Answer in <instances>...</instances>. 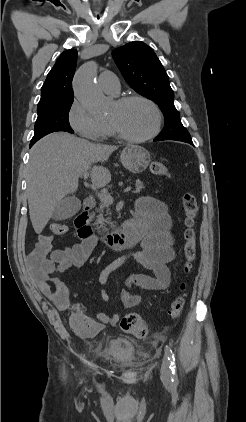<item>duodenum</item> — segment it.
<instances>
[{
  "label": "duodenum",
  "instance_id": "obj_1",
  "mask_svg": "<svg viewBox=\"0 0 246 422\" xmlns=\"http://www.w3.org/2000/svg\"><path fill=\"white\" fill-rule=\"evenodd\" d=\"M95 204L96 201L92 196L86 197L83 202V211L75 218V228L81 239H98L113 251L131 248L141 239L142 229L136 218L125 221L121 227L103 236H97L89 222V214Z\"/></svg>",
  "mask_w": 246,
  "mask_h": 422
}]
</instances>
